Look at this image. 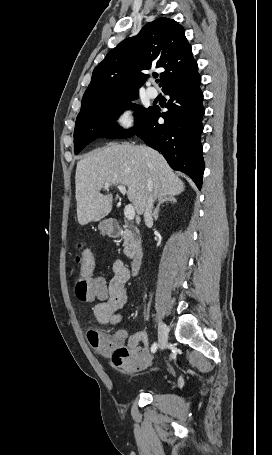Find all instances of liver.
Instances as JSON below:
<instances>
[{
  "label": "liver",
  "instance_id": "6515ba94",
  "mask_svg": "<svg viewBox=\"0 0 272 455\" xmlns=\"http://www.w3.org/2000/svg\"><path fill=\"white\" fill-rule=\"evenodd\" d=\"M105 182L128 188L127 197L137 214L144 212L148 197L179 195L184 183L157 151L145 145L111 143L77 163L75 184L80 225L99 221L112 209V194L102 195Z\"/></svg>",
  "mask_w": 272,
  "mask_h": 455
}]
</instances>
